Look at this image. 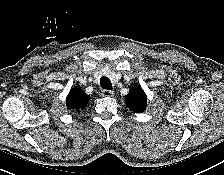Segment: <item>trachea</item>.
<instances>
[{"instance_id": "3493384b", "label": "trachea", "mask_w": 224, "mask_h": 175, "mask_svg": "<svg viewBox=\"0 0 224 175\" xmlns=\"http://www.w3.org/2000/svg\"><path fill=\"white\" fill-rule=\"evenodd\" d=\"M100 84L103 89L112 90V83L109 78L102 77L100 79Z\"/></svg>"}]
</instances>
